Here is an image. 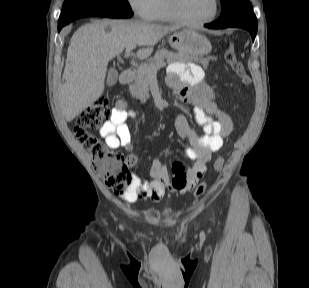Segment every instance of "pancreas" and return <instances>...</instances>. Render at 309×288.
Instances as JSON below:
<instances>
[{
    "label": "pancreas",
    "mask_w": 309,
    "mask_h": 288,
    "mask_svg": "<svg viewBox=\"0 0 309 288\" xmlns=\"http://www.w3.org/2000/svg\"><path fill=\"white\" fill-rule=\"evenodd\" d=\"M165 60L168 64L174 62L187 63L193 61L203 66H207L210 58L189 57L180 53L168 51L167 49H159L155 53L153 59L137 67L134 82L129 86L130 93L133 97H136L141 102H146L149 98V83L151 76L147 68L155 67L158 63L164 62Z\"/></svg>",
    "instance_id": "obj_1"
}]
</instances>
